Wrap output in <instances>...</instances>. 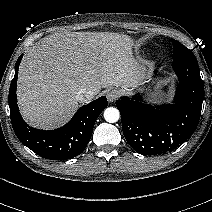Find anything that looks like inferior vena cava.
I'll return each instance as SVG.
<instances>
[{"mask_svg":"<svg viewBox=\"0 0 212 212\" xmlns=\"http://www.w3.org/2000/svg\"><path fill=\"white\" fill-rule=\"evenodd\" d=\"M95 93L92 90L82 88L76 93V100L80 103H86L94 97Z\"/></svg>","mask_w":212,"mask_h":212,"instance_id":"inferior-vena-cava-1","label":"inferior vena cava"}]
</instances>
